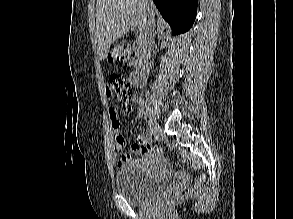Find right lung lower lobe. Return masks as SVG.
<instances>
[{
  "label": "right lung lower lobe",
  "instance_id": "1",
  "mask_svg": "<svg viewBox=\"0 0 293 219\" xmlns=\"http://www.w3.org/2000/svg\"><path fill=\"white\" fill-rule=\"evenodd\" d=\"M173 34L188 31L196 17L197 0H153Z\"/></svg>",
  "mask_w": 293,
  "mask_h": 219
}]
</instances>
